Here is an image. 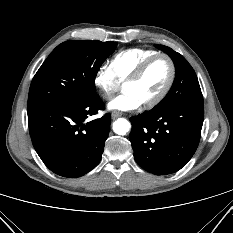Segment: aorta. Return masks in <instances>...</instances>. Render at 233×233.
I'll return each mask as SVG.
<instances>
[{
	"label": "aorta",
	"mask_w": 233,
	"mask_h": 233,
	"mask_svg": "<svg viewBox=\"0 0 233 233\" xmlns=\"http://www.w3.org/2000/svg\"><path fill=\"white\" fill-rule=\"evenodd\" d=\"M130 127V122L124 118H119L113 123V131L118 135H125Z\"/></svg>",
	"instance_id": "obj_1"
}]
</instances>
